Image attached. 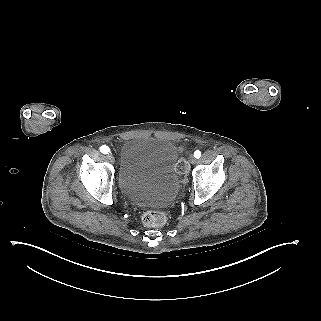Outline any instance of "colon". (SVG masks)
<instances>
[{
	"label": "colon",
	"instance_id": "1",
	"mask_svg": "<svg viewBox=\"0 0 321 321\" xmlns=\"http://www.w3.org/2000/svg\"><path fill=\"white\" fill-rule=\"evenodd\" d=\"M178 169L181 174H185L188 170L187 163L181 159L178 164ZM141 220L143 224L151 227L163 225L167 220V213L164 211H146L142 214Z\"/></svg>",
	"mask_w": 321,
	"mask_h": 321
}]
</instances>
